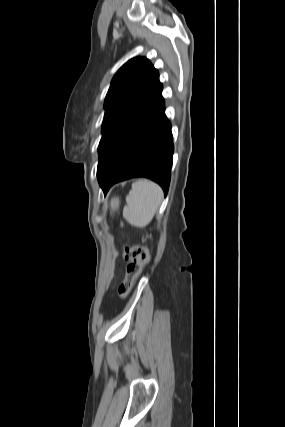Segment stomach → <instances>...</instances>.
Wrapping results in <instances>:
<instances>
[{
	"mask_svg": "<svg viewBox=\"0 0 285 427\" xmlns=\"http://www.w3.org/2000/svg\"><path fill=\"white\" fill-rule=\"evenodd\" d=\"M119 206V198H113L111 201V207L112 209H117Z\"/></svg>",
	"mask_w": 285,
	"mask_h": 427,
	"instance_id": "1",
	"label": "stomach"
}]
</instances>
